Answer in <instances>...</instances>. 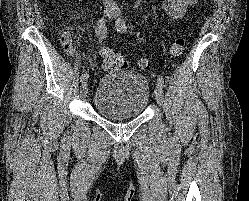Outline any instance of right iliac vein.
I'll use <instances>...</instances> for the list:
<instances>
[{"instance_id": "1", "label": "right iliac vein", "mask_w": 249, "mask_h": 201, "mask_svg": "<svg viewBox=\"0 0 249 201\" xmlns=\"http://www.w3.org/2000/svg\"><path fill=\"white\" fill-rule=\"evenodd\" d=\"M105 12L107 14V16L110 18L113 16L114 12H113V9L109 6L106 7L105 9ZM88 94V84L86 81H84L81 85V88H80V95H81V98L82 99H85L86 96Z\"/></svg>"}]
</instances>
